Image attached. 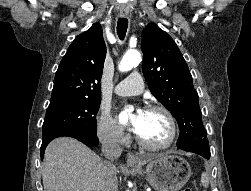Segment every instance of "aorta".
<instances>
[{
    "label": "aorta",
    "instance_id": "762f6f07",
    "mask_svg": "<svg viewBox=\"0 0 251 191\" xmlns=\"http://www.w3.org/2000/svg\"><path fill=\"white\" fill-rule=\"evenodd\" d=\"M140 58V52H137V50H128L119 64L120 72H129V70H132L136 64H139ZM128 111H132V109H124V111H121V113H119V119L128 117Z\"/></svg>",
    "mask_w": 251,
    "mask_h": 191
}]
</instances>
